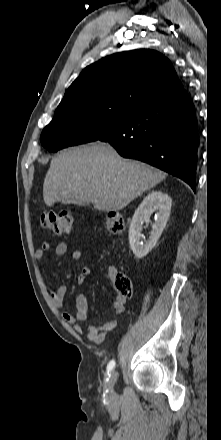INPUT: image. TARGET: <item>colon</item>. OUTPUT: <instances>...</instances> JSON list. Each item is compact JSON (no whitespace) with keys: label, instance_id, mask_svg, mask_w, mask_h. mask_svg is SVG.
I'll return each mask as SVG.
<instances>
[{"label":"colon","instance_id":"1","mask_svg":"<svg viewBox=\"0 0 221 440\" xmlns=\"http://www.w3.org/2000/svg\"><path fill=\"white\" fill-rule=\"evenodd\" d=\"M41 225L57 234H69L74 225V215L69 209L61 211H45L41 215ZM105 229L114 235H120L125 230L123 217L113 211L107 212L104 218ZM114 289L119 297L130 298L133 293L132 282L129 276L121 272L112 275Z\"/></svg>","mask_w":221,"mask_h":440}]
</instances>
